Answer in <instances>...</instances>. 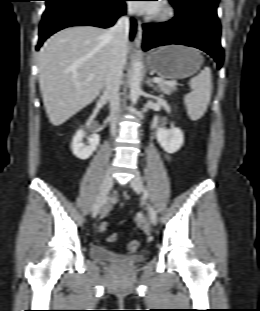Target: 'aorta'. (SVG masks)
I'll use <instances>...</instances> for the list:
<instances>
[{"label":"aorta","mask_w":260,"mask_h":311,"mask_svg":"<svg viewBox=\"0 0 260 311\" xmlns=\"http://www.w3.org/2000/svg\"><path fill=\"white\" fill-rule=\"evenodd\" d=\"M143 77V64L139 59L132 63L129 76L130 99L136 104L141 93V81Z\"/></svg>","instance_id":"762f6f07"}]
</instances>
